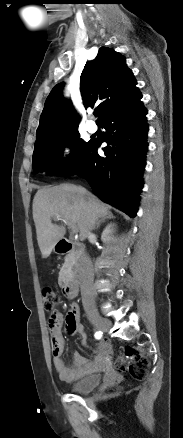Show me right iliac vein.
<instances>
[{
	"mask_svg": "<svg viewBox=\"0 0 183 438\" xmlns=\"http://www.w3.org/2000/svg\"><path fill=\"white\" fill-rule=\"evenodd\" d=\"M91 321L97 329H99L103 332L108 331L109 328L111 327V322L109 320L102 318L98 315L93 316L91 318Z\"/></svg>",
	"mask_w": 183,
	"mask_h": 438,
	"instance_id": "obj_1",
	"label": "right iliac vein"
}]
</instances>
